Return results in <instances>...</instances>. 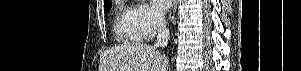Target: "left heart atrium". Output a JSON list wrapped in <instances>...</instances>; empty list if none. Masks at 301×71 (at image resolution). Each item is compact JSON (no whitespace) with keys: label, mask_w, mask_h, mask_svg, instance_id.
I'll use <instances>...</instances> for the list:
<instances>
[{"label":"left heart atrium","mask_w":301,"mask_h":71,"mask_svg":"<svg viewBox=\"0 0 301 71\" xmlns=\"http://www.w3.org/2000/svg\"><path fill=\"white\" fill-rule=\"evenodd\" d=\"M153 4L156 10L164 12L170 7L171 0H153Z\"/></svg>","instance_id":"obj_1"}]
</instances>
